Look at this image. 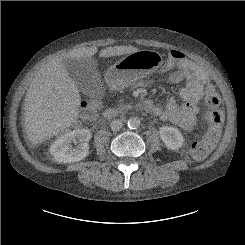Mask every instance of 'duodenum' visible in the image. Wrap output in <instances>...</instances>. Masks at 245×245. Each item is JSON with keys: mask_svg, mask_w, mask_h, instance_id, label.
I'll return each mask as SVG.
<instances>
[{"mask_svg": "<svg viewBox=\"0 0 245 245\" xmlns=\"http://www.w3.org/2000/svg\"><path fill=\"white\" fill-rule=\"evenodd\" d=\"M139 107H142L145 110L151 111L156 108V105L151 100H144L139 105L133 106L130 110L106 109L103 113V119L104 120L118 119L120 118L121 115L126 114L127 112L139 110Z\"/></svg>", "mask_w": 245, "mask_h": 245, "instance_id": "duodenum-1", "label": "duodenum"}]
</instances>
